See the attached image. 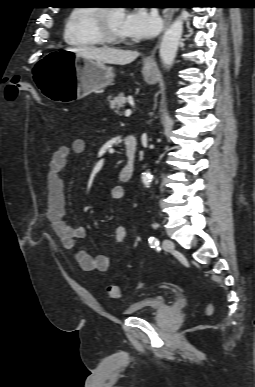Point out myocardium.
<instances>
[{"label": "myocardium", "mask_w": 255, "mask_h": 387, "mask_svg": "<svg viewBox=\"0 0 255 387\" xmlns=\"http://www.w3.org/2000/svg\"><path fill=\"white\" fill-rule=\"evenodd\" d=\"M114 8H97L95 14V27L97 34L103 43L119 45L127 42L126 37L119 36L113 32L110 26V13Z\"/></svg>", "instance_id": "f54148a6"}]
</instances>
